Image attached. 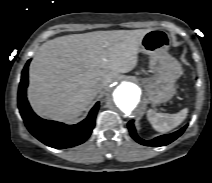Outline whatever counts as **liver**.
Masks as SVG:
<instances>
[{"instance_id":"obj_1","label":"liver","mask_w":212,"mask_h":183,"mask_svg":"<svg viewBox=\"0 0 212 183\" xmlns=\"http://www.w3.org/2000/svg\"><path fill=\"white\" fill-rule=\"evenodd\" d=\"M151 29L95 31L43 43L29 67L28 100L41 117H79L119 73L133 70L144 35Z\"/></svg>"}]
</instances>
